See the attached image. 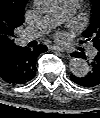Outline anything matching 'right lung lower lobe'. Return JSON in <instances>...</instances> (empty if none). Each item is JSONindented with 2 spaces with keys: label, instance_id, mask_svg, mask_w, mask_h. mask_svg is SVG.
<instances>
[{
  "label": "right lung lower lobe",
  "instance_id": "98d812e1",
  "mask_svg": "<svg viewBox=\"0 0 100 118\" xmlns=\"http://www.w3.org/2000/svg\"><path fill=\"white\" fill-rule=\"evenodd\" d=\"M47 51L44 45L34 49L19 47L13 54L0 58V77L9 84H24L36 75L37 57Z\"/></svg>",
  "mask_w": 100,
  "mask_h": 118
}]
</instances>
